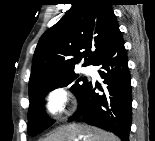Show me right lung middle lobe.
<instances>
[{
    "label": "right lung middle lobe",
    "mask_w": 155,
    "mask_h": 141,
    "mask_svg": "<svg viewBox=\"0 0 155 141\" xmlns=\"http://www.w3.org/2000/svg\"><path fill=\"white\" fill-rule=\"evenodd\" d=\"M77 78L78 75L74 73V70H72L46 78L29 88L30 106L28 111L27 131L29 135L35 136L54 123L53 120L49 119L45 115L42 107L44 97L49 91L58 87L70 86L76 97L80 95L83 88L88 83V80L85 77Z\"/></svg>",
    "instance_id": "obj_1"
}]
</instances>
